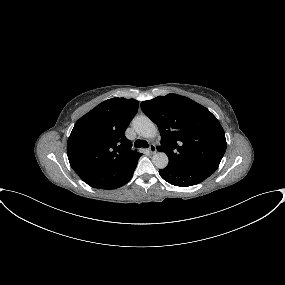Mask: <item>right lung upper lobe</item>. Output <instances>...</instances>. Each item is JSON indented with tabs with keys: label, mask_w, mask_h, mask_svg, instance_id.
Wrapping results in <instances>:
<instances>
[{
	"label": "right lung upper lobe",
	"mask_w": 285,
	"mask_h": 285,
	"mask_svg": "<svg viewBox=\"0 0 285 285\" xmlns=\"http://www.w3.org/2000/svg\"><path fill=\"white\" fill-rule=\"evenodd\" d=\"M138 106L135 99H108L75 123L67 155L73 170L91 187L114 189L132 177L142 154L130 149L125 130Z\"/></svg>",
	"instance_id": "obj_1"
}]
</instances>
